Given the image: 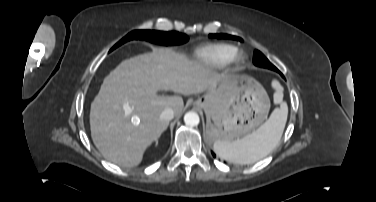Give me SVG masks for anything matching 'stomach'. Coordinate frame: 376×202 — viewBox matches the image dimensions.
I'll list each match as a JSON object with an SVG mask.
<instances>
[{"mask_svg": "<svg viewBox=\"0 0 376 202\" xmlns=\"http://www.w3.org/2000/svg\"><path fill=\"white\" fill-rule=\"evenodd\" d=\"M194 105L207 117L212 141L231 142L249 135L267 118L270 100L264 88L246 75L223 77Z\"/></svg>", "mask_w": 376, "mask_h": 202, "instance_id": "obj_1", "label": "stomach"}]
</instances>
